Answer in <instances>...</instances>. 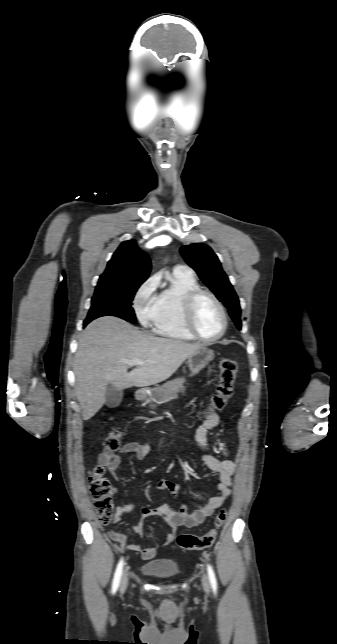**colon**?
<instances>
[{
	"label": "colon",
	"mask_w": 337,
	"mask_h": 644,
	"mask_svg": "<svg viewBox=\"0 0 337 644\" xmlns=\"http://www.w3.org/2000/svg\"><path fill=\"white\" fill-rule=\"evenodd\" d=\"M237 372L234 360L223 358L219 362V380L215 394L210 398L207 406L198 412L200 419H206L210 412L222 410L233 391ZM121 443L119 430H112L104 440V446L109 450H116ZM105 468L97 465L90 473L88 484L90 494L94 501L95 511L103 524H108L113 517L112 491L109 481L104 477ZM226 511L221 510L215 517L214 527L203 535L182 534L177 538V546L182 550H203L213 545L218 529L226 520Z\"/></svg>",
	"instance_id": "colon-1"
}]
</instances>
